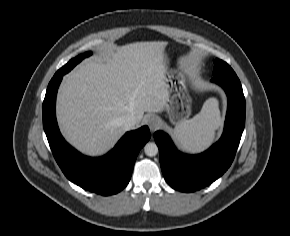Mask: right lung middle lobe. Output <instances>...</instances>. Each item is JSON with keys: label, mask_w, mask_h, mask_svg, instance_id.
<instances>
[{"label": "right lung middle lobe", "mask_w": 290, "mask_h": 236, "mask_svg": "<svg viewBox=\"0 0 290 236\" xmlns=\"http://www.w3.org/2000/svg\"><path fill=\"white\" fill-rule=\"evenodd\" d=\"M91 52H86L84 54H81L77 56L74 59H71L66 65H64L62 68H60L56 74H66L68 73L75 65H77L83 58L90 56Z\"/></svg>", "instance_id": "dd1d6c3e"}]
</instances>
